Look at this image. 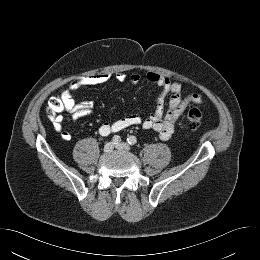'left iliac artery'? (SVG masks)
I'll use <instances>...</instances> for the list:
<instances>
[{
  "label": "left iliac artery",
  "instance_id": "left-iliac-artery-1",
  "mask_svg": "<svg viewBox=\"0 0 260 260\" xmlns=\"http://www.w3.org/2000/svg\"><path fill=\"white\" fill-rule=\"evenodd\" d=\"M127 142H128V144H130V145H134V144H136L137 139H136L135 136H130L129 138H127Z\"/></svg>",
  "mask_w": 260,
  "mask_h": 260
}]
</instances>
